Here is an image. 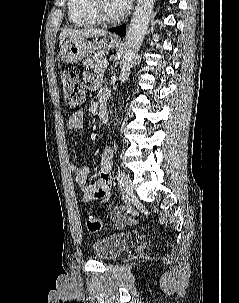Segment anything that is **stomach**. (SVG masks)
I'll list each match as a JSON object with an SVG mask.
<instances>
[{
  "mask_svg": "<svg viewBox=\"0 0 239 303\" xmlns=\"http://www.w3.org/2000/svg\"><path fill=\"white\" fill-rule=\"evenodd\" d=\"M117 45L114 37H104L99 41H88L80 38L73 41H66L60 51L61 60L66 63H76L84 58L91 57L96 51L105 52Z\"/></svg>",
  "mask_w": 239,
  "mask_h": 303,
  "instance_id": "stomach-1",
  "label": "stomach"
}]
</instances>
